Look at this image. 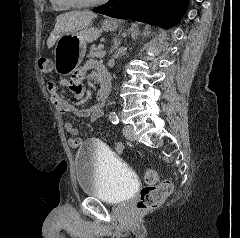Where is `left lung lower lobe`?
<instances>
[{"mask_svg": "<svg viewBox=\"0 0 240 238\" xmlns=\"http://www.w3.org/2000/svg\"><path fill=\"white\" fill-rule=\"evenodd\" d=\"M189 0H110L93 11L170 28L185 13Z\"/></svg>", "mask_w": 240, "mask_h": 238, "instance_id": "left-lung-lower-lobe-1", "label": "left lung lower lobe"}]
</instances>
